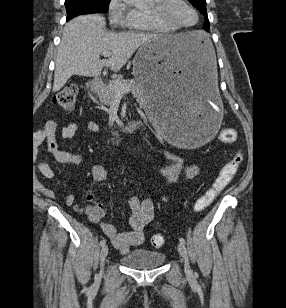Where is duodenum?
I'll return each mask as SVG.
<instances>
[{
  "mask_svg": "<svg viewBox=\"0 0 286 308\" xmlns=\"http://www.w3.org/2000/svg\"><path fill=\"white\" fill-rule=\"evenodd\" d=\"M102 86V80L97 78L93 81L91 85L92 91H98ZM143 126V123L140 121H129L120 126H115L112 130L116 132H126L129 130H137Z\"/></svg>",
  "mask_w": 286,
  "mask_h": 308,
  "instance_id": "1",
  "label": "duodenum"
}]
</instances>
